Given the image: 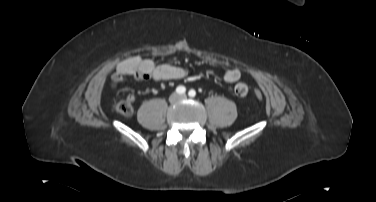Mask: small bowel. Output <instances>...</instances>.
I'll return each instance as SVG.
<instances>
[{
  "label": "small bowel",
  "mask_w": 376,
  "mask_h": 202,
  "mask_svg": "<svg viewBox=\"0 0 376 202\" xmlns=\"http://www.w3.org/2000/svg\"><path fill=\"white\" fill-rule=\"evenodd\" d=\"M187 76L188 71L183 67L169 63L157 65L151 59L134 56L122 60L117 65L111 75V85L116 87L128 77L152 81H169L182 80ZM240 79L241 71L237 68L228 69L223 74V80L226 83H237L234 91L236 95L243 97L248 93V87L245 83L239 82Z\"/></svg>",
  "instance_id": "1"
}]
</instances>
